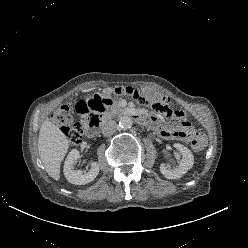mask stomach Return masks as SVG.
<instances>
[{
    "label": "stomach",
    "mask_w": 248,
    "mask_h": 248,
    "mask_svg": "<svg viewBox=\"0 0 248 248\" xmlns=\"http://www.w3.org/2000/svg\"><path fill=\"white\" fill-rule=\"evenodd\" d=\"M85 106L91 110H98L104 116L113 114L117 108L115 99L97 89L87 91L83 97Z\"/></svg>",
    "instance_id": "0dacf381"
}]
</instances>
